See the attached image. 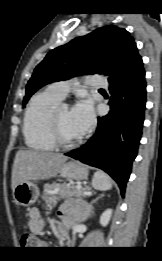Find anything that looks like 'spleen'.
<instances>
[{
  "label": "spleen",
  "mask_w": 162,
  "mask_h": 261,
  "mask_svg": "<svg viewBox=\"0 0 162 261\" xmlns=\"http://www.w3.org/2000/svg\"><path fill=\"white\" fill-rule=\"evenodd\" d=\"M92 186L100 191L110 190L112 188L111 178L105 172L98 170L93 176Z\"/></svg>",
  "instance_id": "3e777b00"
}]
</instances>
